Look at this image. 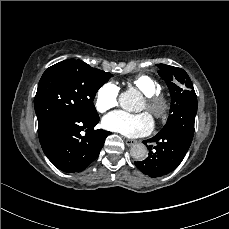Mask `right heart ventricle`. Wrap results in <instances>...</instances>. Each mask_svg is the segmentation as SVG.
Instances as JSON below:
<instances>
[{"label": "right heart ventricle", "mask_w": 229, "mask_h": 229, "mask_svg": "<svg viewBox=\"0 0 229 229\" xmlns=\"http://www.w3.org/2000/svg\"><path fill=\"white\" fill-rule=\"evenodd\" d=\"M130 82L145 95L159 93L161 90L159 82L146 74H139L130 79Z\"/></svg>", "instance_id": "1"}]
</instances>
